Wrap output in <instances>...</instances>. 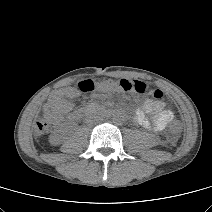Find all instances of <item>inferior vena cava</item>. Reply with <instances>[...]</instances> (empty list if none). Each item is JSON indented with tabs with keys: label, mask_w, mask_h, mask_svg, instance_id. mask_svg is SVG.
Segmentation results:
<instances>
[{
	"label": "inferior vena cava",
	"mask_w": 212,
	"mask_h": 212,
	"mask_svg": "<svg viewBox=\"0 0 212 212\" xmlns=\"http://www.w3.org/2000/svg\"><path fill=\"white\" fill-rule=\"evenodd\" d=\"M100 120H101L100 117L92 116V117H88L86 119V122L89 123V124H94V123H97Z\"/></svg>",
	"instance_id": "obj_1"
}]
</instances>
